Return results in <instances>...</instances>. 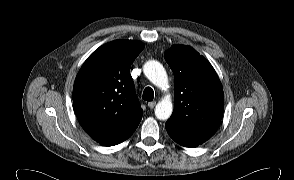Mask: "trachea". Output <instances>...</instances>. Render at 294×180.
I'll return each mask as SVG.
<instances>
[{
    "label": "trachea",
    "mask_w": 294,
    "mask_h": 180,
    "mask_svg": "<svg viewBox=\"0 0 294 180\" xmlns=\"http://www.w3.org/2000/svg\"><path fill=\"white\" fill-rule=\"evenodd\" d=\"M142 98L145 100V101H152L153 98H154V91L152 88L150 87H146L144 92H143V96Z\"/></svg>",
    "instance_id": "trachea-1"
}]
</instances>
